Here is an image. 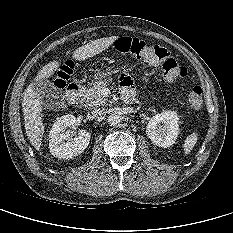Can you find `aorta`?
<instances>
[{
  "label": "aorta",
  "mask_w": 233,
  "mask_h": 233,
  "mask_svg": "<svg viewBox=\"0 0 233 233\" xmlns=\"http://www.w3.org/2000/svg\"><path fill=\"white\" fill-rule=\"evenodd\" d=\"M122 121V118L120 115L114 113V114H111L109 117H108V123L111 125V126H116L118 124H120Z\"/></svg>",
  "instance_id": "762f6f07"
}]
</instances>
